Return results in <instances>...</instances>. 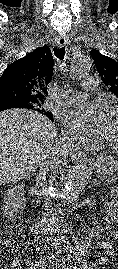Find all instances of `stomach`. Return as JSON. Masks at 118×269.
Returning <instances> with one entry per match:
<instances>
[{"mask_svg": "<svg viewBox=\"0 0 118 269\" xmlns=\"http://www.w3.org/2000/svg\"><path fill=\"white\" fill-rule=\"evenodd\" d=\"M93 169L99 175L110 176L118 170V162L111 156H101L93 164Z\"/></svg>", "mask_w": 118, "mask_h": 269, "instance_id": "obj_1", "label": "stomach"}]
</instances>
